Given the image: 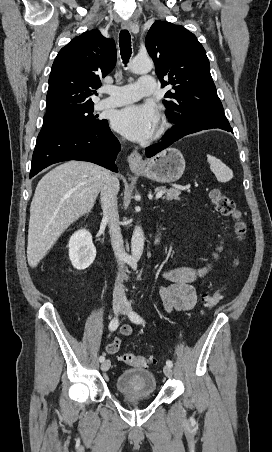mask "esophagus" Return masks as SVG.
Instances as JSON below:
<instances>
[{
  "mask_svg": "<svg viewBox=\"0 0 272 452\" xmlns=\"http://www.w3.org/2000/svg\"><path fill=\"white\" fill-rule=\"evenodd\" d=\"M123 29H130L131 28V22L128 20L122 21L121 24ZM128 163L130 168H138L142 165L143 159L138 150L134 149L129 155H128Z\"/></svg>",
  "mask_w": 272,
  "mask_h": 452,
  "instance_id": "34e87169",
  "label": "esophagus"
}]
</instances>
